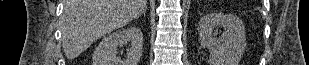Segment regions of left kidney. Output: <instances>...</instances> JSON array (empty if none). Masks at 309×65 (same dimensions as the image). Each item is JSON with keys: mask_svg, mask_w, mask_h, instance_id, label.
Wrapping results in <instances>:
<instances>
[{"mask_svg": "<svg viewBox=\"0 0 309 65\" xmlns=\"http://www.w3.org/2000/svg\"><path fill=\"white\" fill-rule=\"evenodd\" d=\"M219 27L224 29L216 36ZM201 46L210 51L211 65H238L246 49L245 28L242 20L232 14L211 13L200 19L198 25Z\"/></svg>", "mask_w": 309, "mask_h": 65, "instance_id": "1", "label": "left kidney"}]
</instances>
